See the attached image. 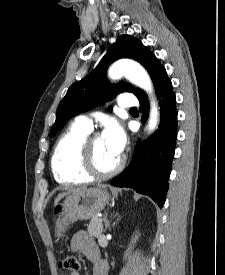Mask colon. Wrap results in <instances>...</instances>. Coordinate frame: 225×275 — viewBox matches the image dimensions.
Segmentation results:
<instances>
[{"instance_id":"obj_1","label":"colon","mask_w":225,"mask_h":275,"mask_svg":"<svg viewBox=\"0 0 225 275\" xmlns=\"http://www.w3.org/2000/svg\"><path fill=\"white\" fill-rule=\"evenodd\" d=\"M61 267L70 272H77L80 268V265L76 257L68 256L61 262Z\"/></svg>"}]
</instances>
